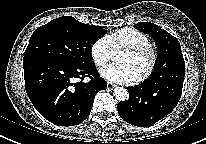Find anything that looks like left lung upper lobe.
I'll use <instances>...</instances> for the list:
<instances>
[{
    "mask_svg": "<svg viewBox=\"0 0 206 144\" xmlns=\"http://www.w3.org/2000/svg\"><path fill=\"white\" fill-rule=\"evenodd\" d=\"M135 27L139 31L149 34L154 39L158 49L154 71L144 83H157L169 72L179 69L185 70V62L177 38L150 22H139Z\"/></svg>",
    "mask_w": 206,
    "mask_h": 144,
    "instance_id": "left-lung-upper-lobe-1",
    "label": "left lung upper lobe"
}]
</instances>
